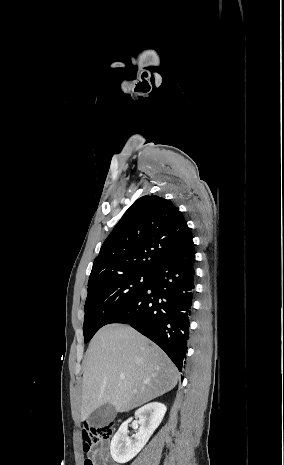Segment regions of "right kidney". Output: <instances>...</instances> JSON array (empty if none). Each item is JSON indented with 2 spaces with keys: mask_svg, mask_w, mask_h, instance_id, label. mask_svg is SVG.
Segmentation results:
<instances>
[{
  "mask_svg": "<svg viewBox=\"0 0 284 465\" xmlns=\"http://www.w3.org/2000/svg\"><path fill=\"white\" fill-rule=\"evenodd\" d=\"M167 409L162 403H148L135 413V419H139L140 429L133 435L134 439L128 437V423L131 419L122 423L117 433H115L110 447V453L116 463H128L136 457L149 441L155 429L159 427Z\"/></svg>",
  "mask_w": 284,
  "mask_h": 465,
  "instance_id": "obj_1",
  "label": "right kidney"
}]
</instances>
